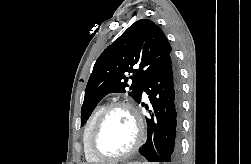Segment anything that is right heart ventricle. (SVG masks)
<instances>
[{
  "label": "right heart ventricle",
  "instance_id": "e07e8e85",
  "mask_svg": "<svg viewBox=\"0 0 251 164\" xmlns=\"http://www.w3.org/2000/svg\"><path fill=\"white\" fill-rule=\"evenodd\" d=\"M105 105H98L90 114V116L88 117L85 126H84V130H83V144H84V153H85V157L86 160L89 163L92 164H97L100 161L98 159H96L90 152L89 150V138H90V134L92 131V128L95 124V121L97 120L98 116L100 115V113L104 110Z\"/></svg>",
  "mask_w": 251,
  "mask_h": 164
}]
</instances>
